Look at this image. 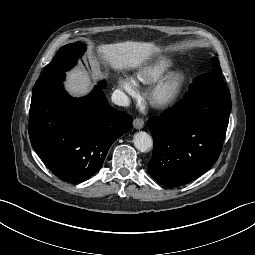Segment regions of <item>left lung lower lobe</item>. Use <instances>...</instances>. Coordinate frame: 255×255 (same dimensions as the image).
<instances>
[{"instance_id":"obj_1","label":"left lung lower lobe","mask_w":255,"mask_h":255,"mask_svg":"<svg viewBox=\"0 0 255 255\" xmlns=\"http://www.w3.org/2000/svg\"><path fill=\"white\" fill-rule=\"evenodd\" d=\"M231 97L221 74L196 77L183 101L148 120L154 147L148 173L177 187L208 171L217 161L229 122Z\"/></svg>"}]
</instances>
